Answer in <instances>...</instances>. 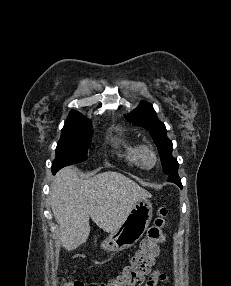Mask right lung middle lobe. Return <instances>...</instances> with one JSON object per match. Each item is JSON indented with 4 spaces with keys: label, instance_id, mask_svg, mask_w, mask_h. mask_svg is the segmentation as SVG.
Returning a JSON list of instances; mask_svg holds the SVG:
<instances>
[{
    "label": "right lung middle lobe",
    "instance_id": "1",
    "mask_svg": "<svg viewBox=\"0 0 231 286\" xmlns=\"http://www.w3.org/2000/svg\"><path fill=\"white\" fill-rule=\"evenodd\" d=\"M84 117H68L56 148L52 169L58 171L64 166L85 161L90 147L92 130Z\"/></svg>",
    "mask_w": 231,
    "mask_h": 286
}]
</instances>
